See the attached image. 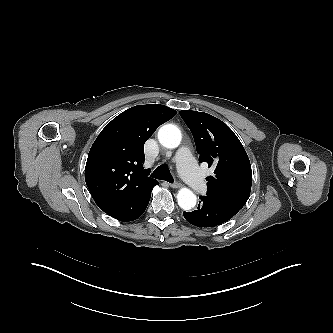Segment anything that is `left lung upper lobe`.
I'll use <instances>...</instances> for the list:
<instances>
[{
	"label": "left lung upper lobe",
	"instance_id": "5c2ea615",
	"mask_svg": "<svg viewBox=\"0 0 333 333\" xmlns=\"http://www.w3.org/2000/svg\"><path fill=\"white\" fill-rule=\"evenodd\" d=\"M190 128L200 162L214 167L206 178L207 196L235 214L247 202L252 185L248 155L234 132L218 118L203 112L180 111Z\"/></svg>",
	"mask_w": 333,
	"mask_h": 333
}]
</instances>
